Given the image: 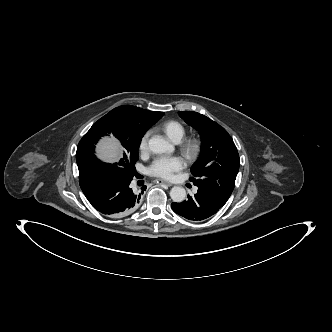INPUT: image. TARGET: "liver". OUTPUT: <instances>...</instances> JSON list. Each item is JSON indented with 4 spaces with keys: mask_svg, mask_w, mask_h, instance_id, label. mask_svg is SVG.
<instances>
[{
    "mask_svg": "<svg viewBox=\"0 0 332 332\" xmlns=\"http://www.w3.org/2000/svg\"><path fill=\"white\" fill-rule=\"evenodd\" d=\"M98 154L104 160H117L119 154L117 142L114 139H104L98 146Z\"/></svg>",
    "mask_w": 332,
    "mask_h": 332,
    "instance_id": "obj_1",
    "label": "liver"
}]
</instances>
